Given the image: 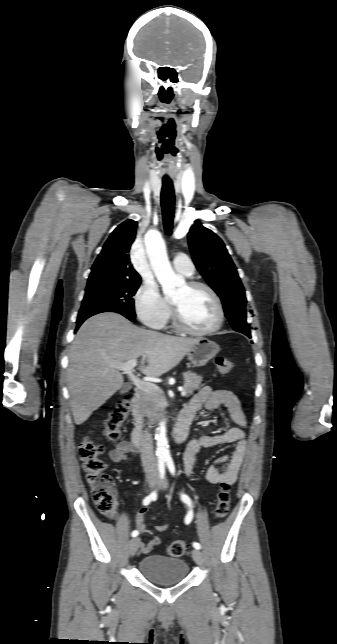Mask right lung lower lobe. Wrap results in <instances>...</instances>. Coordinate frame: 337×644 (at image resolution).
<instances>
[{"label": "right lung lower lobe", "instance_id": "right-lung-lower-lobe-1", "mask_svg": "<svg viewBox=\"0 0 337 644\" xmlns=\"http://www.w3.org/2000/svg\"><path fill=\"white\" fill-rule=\"evenodd\" d=\"M122 315H123V316H125L126 318H128L129 320H131L132 322H135V321H136V320H135V317H132V316H129V315H125V314H122ZM85 320H86V319H85ZM83 322H84V320L77 321L76 329H78V328L80 327V325H81Z\"/></svg>", "mask_w": 337, "mask_h": 644}]
</instances>
